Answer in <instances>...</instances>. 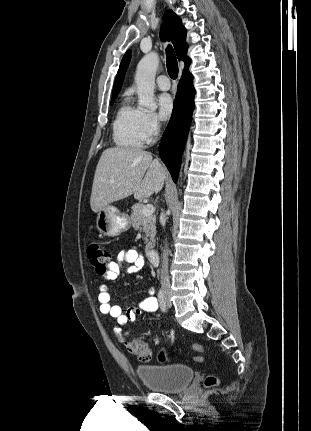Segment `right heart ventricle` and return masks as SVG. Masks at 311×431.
Returning a JSON list of instances; mask_svg holds the SVG:
<instances>
[{
    "label": "right heart ventricle",
    "instance_id": "1",
    "mask_svg": "<svg viewBox=\"0 0 311 431\" xmlns=\"http://www.w3.org/2000/svg\"><path fill=\"white\" fill-rule=\"evenodd\" d=\"M112 138L120 149H140L146 141L143 111L128 100H124L115 113Z\"/></svg>",
    "mask_w": 311,
    "mask_h": 431
}]
</instances>
